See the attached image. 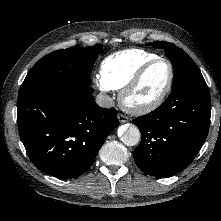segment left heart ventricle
<instances>
[{
  "instance_id": "left-heart-ventricle-1",
  "label": "left heart ventricle",
  "mask_w": 221,
  "mask_h": 221,
  "mask_svg": "<svg viewBox=\"0 0 221 221\" xmlns=\"http://www.w3.org/2000/svg\"><path fill=\"white\" fill-rule=\"evenodd\" d=\"M169 78V66L159 62L145 74L137 88L129 97L132 104H143L155 99L164 89Z\"/></svg>"
}]
</instances>
